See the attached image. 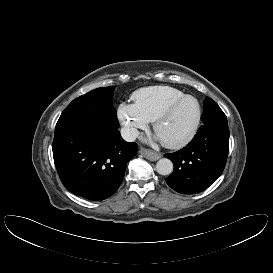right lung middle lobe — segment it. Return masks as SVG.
<instances>
[{
    "instance_id": "dd1d6c3e",
    "label": "right lung middle lobe",
    "mask_w": 273,
    "mask_h": 273,
    "mask_svg": "<svg viewBox=\"0 0 273 273\" xmlns=\"http://www.w3.org/2000/svg\"><path fill=\"white\" fill-rule=\"evenodd\" d=\"M115 86L97 88L74 99L62 112L55 130L80 123L118 128L116 109L112 106Z\"/></svg>"
}]
</instances>
